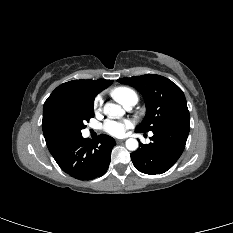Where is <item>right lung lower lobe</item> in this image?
<instances>
[{
	"label": "right lung lower lobe",
	"mask_w": 233,
	"mask_h": 233,
	"mask_svg": "<svg viewBox=\"0 0 233 233\" xmlns=\"http://www.w3.org/2000/svg\"><path fill=\"white\" fill-rule=\"evenodd\" d=\"M115 140L101 134L91 140L80 136L50 150L60 168L80 180H88L105 174L109 167Z\"/></svg>",
	"instance_id": "98d812e1"
}]
</instances>
